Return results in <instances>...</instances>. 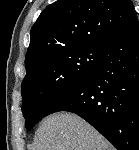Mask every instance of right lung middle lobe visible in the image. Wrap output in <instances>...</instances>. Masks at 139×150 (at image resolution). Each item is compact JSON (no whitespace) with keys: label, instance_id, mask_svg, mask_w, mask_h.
<instances>
[{"label":"right lung middle lobe","instance_id":"right-lung-middle-lobe-1","mask_svg":"<svg viewBox=\"0 0 139 150\" xmlns=\"http://www.w3.org/2000/svg\"><path fill=\"white\" fill-rule=\"evenodd\" d=\"M106 47H93L55 55L28 73L22 81V112L30 130L48 108L80 83Z\"/></svg>","mask_w":139,"mask_h":150}]
</instances>
